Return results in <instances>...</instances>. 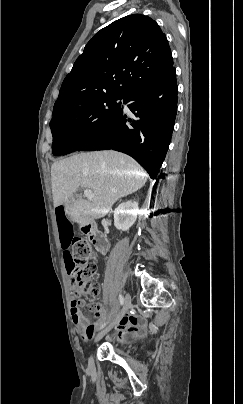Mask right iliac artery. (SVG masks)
Masks as SVG:
<instances>
[{
    "instance_id": "obj_1",
    "label": "right iliac artery",
    "mask_w": 243,
    "mask_h": 404,
    "mask_svg": "<svg viewBox=\"0 0 243 404\" xmlns=\"http://www.w3.org/2000/svg\"><path fill=\"white\" fill-rule=\"evenodd\" d=\"M119 302H120V304H121V305H123V304H124V298H123V296H122V295H120V296H119ZM105 325H106V323H105V324H103V325L101 326V328H102V327H104Z\"/></svg>"
}]
</instances>
